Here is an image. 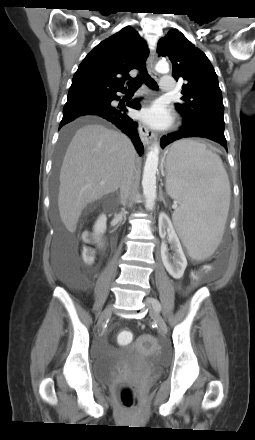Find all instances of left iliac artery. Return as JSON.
Masks as SVG:
<instances>
[{
  "label": "left iliac artery",
  "mask_w": 255,
  "mask_h": 440,
  "mask_svg": "<svg viewBox=\"0 0 255 440\" xmlns=\"http://www.w3.org/2000/svg\"><path fill=\"white\" fill-rule=\"evenodd\" d=\"M150 301H151L152 305L154 306V308H155L157 311H160V310H161V305H160V303H159L158 300H156V299H154V298H151Z\"/></svg>",
  "instance_id": "44dca946"
}]
</instances>
